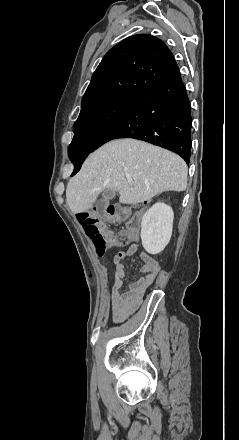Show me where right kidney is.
<instances>
[{
    "label": "right kidney",
    "mask_w": 239,
    "mask_h": 440,
    "mask_svg": "<svg viewBox=\"0 0 239 440\" xmlns=\"http://www.w3.org/2000/svg\"><path fill=\"white\" fill-rule=\"evenodd\" d=\"M174 214L170 206L157 202L145 212L141 222V240L148 253H161L172 236Z\"/></svg>",
    "instance_id": "1"
}]
</instances>
